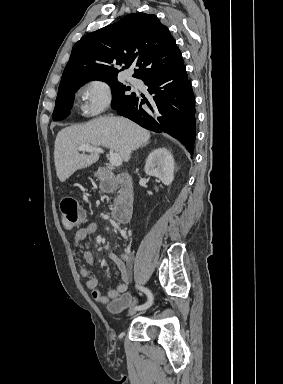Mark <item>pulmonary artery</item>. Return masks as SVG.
<instances>
[{"label": "pulmonary artery", "mask_w": 283, "mask_h": 384, "mask_svg": "<svg viewBox=\"0 0 283 384\" xmlns=\"http://www.w3.org/2000/svg\"><path fill=\"white\" fill-rule=\"evenodd\" d=\"M126 80H127L129 83H131V84H133V85H135V86H137V87H139V88H143V83H142V81L136 79V78L133 77L131 74H129V75L126 77Z\"/></svg>", "instance_id": "1"}]
</instances>
